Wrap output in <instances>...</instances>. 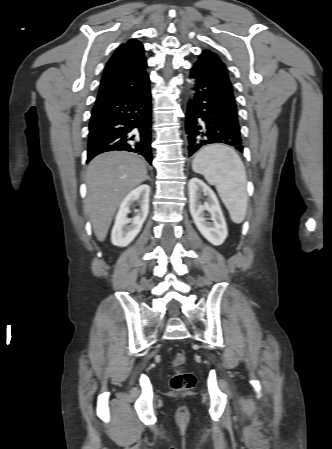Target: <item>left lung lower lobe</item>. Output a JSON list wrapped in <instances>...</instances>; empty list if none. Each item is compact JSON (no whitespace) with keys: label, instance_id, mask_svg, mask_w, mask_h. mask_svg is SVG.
Here are the masks:
<instances>
[{"label":"left lung lower lobe","instance_id":"1","mask_svg":"<svg viewBox=\"0 0 332 449\" xmlns=\"http://www.w3.org/2000/svg\"><path fill=\"white\" fill-rule=\"evenodd\" d=\"M190 77L195 93L188 106L186 134L188 153L222 143L243 152L237 106L229 77L218 68L196 62Z\"/></svg>","mask_w":332,"mask_h":449}]
</instances>
